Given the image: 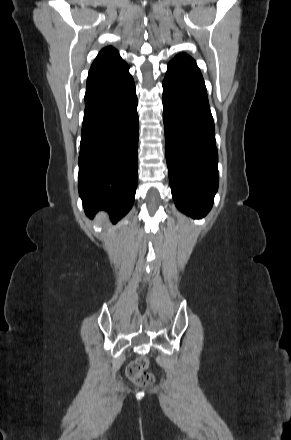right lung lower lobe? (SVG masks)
<instances>
[{
    "label": "right lung lower lobe",
    "instance_id": "right-lung-lower-lobe-1",
    "mask_svg": "<svg viewBox=\"0 0 291 440\" xmlns=\"http://www.w3.org/2000/svg\"><path fill=\"white\" fill-rule=\"evenodd\" d=\"M128 70L88 76L78 160L86 214L104 209L113 223L131 209L137 188V96Z\"/></svg>",
    "mask_w": 291,
    "mask_h": 440
}]
</instances>
